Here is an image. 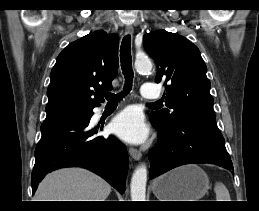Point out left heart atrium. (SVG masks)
Instances as JSON below:
<instances>
[{
    "label": "left heart atrium",
    "mask_w": 259,
    "mask_h": 211,
    "mask_svg": "<svg viewBox=\"0 0 259 211\" xmlns=\"http://www.w3.org/2000/svg\"><path fill=\"white\" fill-rule=\"evenodd\" d=\"M111 130L122 140L135 144L142 143L148 136L142 114L133 108L119 113L111 122Z\"/></svg>",
    "instance_id": "1"
}]
</instances>
